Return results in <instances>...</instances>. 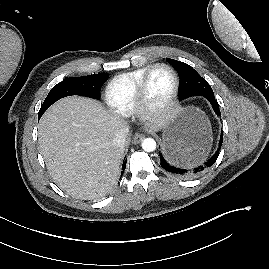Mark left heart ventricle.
<instances>
[{
  "mask_svg": "<svg viewBox=\"0 0 269 269\" xmlns=\"http://www.w3.org/2000/svg\"><path fill=\"white\" fill-rule=\"evenodd\" d=\"M173 87V77L165 68L155 69L148 80L146 95L151 105L162 104L169 96Z\"/></svg>",
  "mask_w": 269,
  "mask_h": 269,
  "instance_id": "left-heart-ventricle-1",
  "label": "left heart ventricle"
}]
</instances>
